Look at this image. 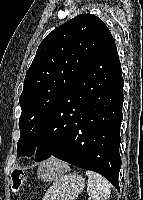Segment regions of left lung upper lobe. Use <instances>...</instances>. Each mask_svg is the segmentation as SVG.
<instances>
[{"mask_svg": "<svg viewBox=\"0 0 143 200\" xmlns=\"http://www.w3.org/2000/svg\"><path fill=\"white\" fill-rule=\"evenodd\" d=\"M113 39L95 15L81 14L54 29L40 43L29 67L19 102L17 156H31L50 114L65 91ZM60 111L56 120H60Z\"/></svg>", "mask_w": 143, "mask_h": 200, "instance_id": "1", "label": "left lung upper lobe"}]
</instances>
